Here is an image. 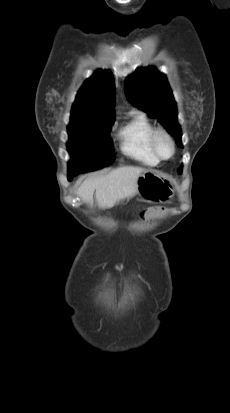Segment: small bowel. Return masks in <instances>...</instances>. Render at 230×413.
I'll return each mask as SVG.
<instances>
[{
	"mask_svg": "<svg viewBox=\"0 0 230 413\" xmlns=\"http://www.w3.org/2000/svg\"><path fill=\"white\" fill-rule=\"evenodd\" d=\"M170 212V207L167 205H146L145 209L140 211L142 218H152L154 215L160 216Z\"/></svg>",
	"mask_w": 230,
	"mask_h": 413,
	"instance_id": "obj_1",
	"label": "small bowel"
}]
</instances>
